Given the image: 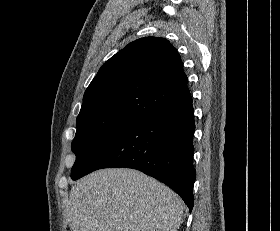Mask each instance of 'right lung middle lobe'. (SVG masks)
<instances>
[{
  "mask_svg": "<svg viewBox=\"0 0 280 231\" xmlns=\"http://www.w3.org/2000/svg\"><path fill=\"white\" fill-rule=\"evenodd\" d=\"M138 122L125 117L77 120V131L71 146L76 155L71 178L79 175L110 143Z\"/></svg>",
  "mask_w": 280,
  "mask_h": 231,
  "instance_id": "1",
  "label": "right lung middle lobe"
}]
</instances>
